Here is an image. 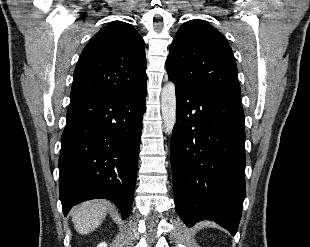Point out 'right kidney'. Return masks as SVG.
Wrapping results in <instances>:
<instances>
[{
	"label": "right kidney",
	"instance_id": "obj_1",
	"mask_svg": "<svg viewBox=\"0 0 310 247\" xmlns=\"http://www.w3.org/2000/svg\"><path fill=\"white\" fill-rule=\"evenodd\" d=\"M97 247H107V244L106 242H102L99 245H97Z\"/></svg>",
	"mask_w": 310,
	"mask_h": 247
}]
</instances>
